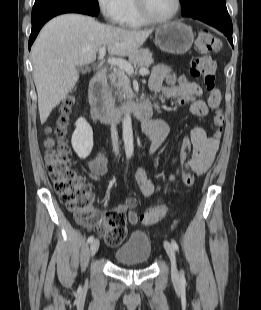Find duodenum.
Returning <instances> with one entry per match:
<instances>
[{
    "instance_id": "1",
    "label": "duodenum",
    "mask_w": 261,
    "mask_h": 310,
    "mask_svg": "<svg viewBox=\"0 0 261 310\" xmlns=\"http://www.w3.org/2000/svg\"><path fill=\"white\" fill-rule=\"evenodd\" d=\"M106 69H100L92 78L89 86V94L93 104L92 118L97 121L104 120L108 115L105 93ZM121 112L133 115L142 122L147 130V125L153 112V105L149 99L137 103H130L121 108Z\"/></svg>"
}]
</instances>
